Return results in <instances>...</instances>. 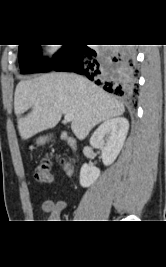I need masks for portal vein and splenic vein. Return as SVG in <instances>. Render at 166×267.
Instances as JSON below:
<instances>
[{
    "instance_id": "1",
    "label": "portal vein and splenic vein",
    "mask_w": 166,
    "mask_h": 267,
    "mask_svg": "<svg viewBox=\"0 0 166 267\" xmlns=\"http://www.w3.org/2000/svg\"><path fill=\"white\" fill-rule=\"evenodd\" d=\"M64 119H65V121H67V122H71V121H73V119H74V115L71 114V113H67V114H65Z\"/></svg>"
}]
</instances>
